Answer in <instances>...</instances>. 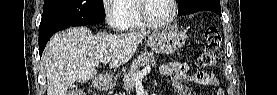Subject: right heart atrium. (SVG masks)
<instances>
[{
  "mask_svg": "<svg viewBox=\"0 0 277 95\" xmlns=\"http://www.w3.org/2000/svg\"><path fill=\"white\" fill-rule=\"evenodd\" d=\"M122 0H104L103 1V12L106 18L108 26L112 30H119L122 28L121 14L116 9L117 4Z\"/></svg>",
  "mask_w": 277,
  "mask_h": 95,
  "instance_id": "1",
  "label": "right heart atrium"
}]
</instances>
